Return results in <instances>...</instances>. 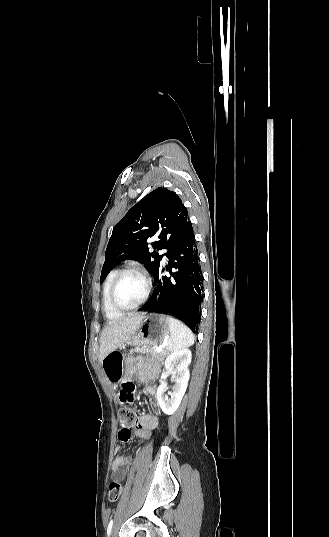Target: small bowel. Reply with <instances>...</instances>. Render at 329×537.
Here are the masks:
<instances>
[{
  "mask_svg": "<svg viewBox=\"0 0 329 537\" xmlns=\"http://www.w3.org/2000/svg\"><path fill=\"white\" fill-rule=\"evenodd\" d=\"M159 373L158 367L145 361L142 358H132L126 361V377L122 379L119 386V402L121 405H128L135 398L136 386L132 378L138 377L140 381L146 383L145 392L156 397L157 388L153 383ZM159 407L154 405L152 410L143 415L137 425L131 429L130 433L122 429L118 433V438L123 443H128L134 437L145 440L149 437L150 431L158 426ZM122 447H115L116 458L112 465V476L116 479H123L126 475V468L132 463V458L121 454Z\"/></svg>",
  "mask_w": 329,
  "mask_h": 537,
  "instance_id": "1",
  "label": "small bowel"
}]
</instances>
